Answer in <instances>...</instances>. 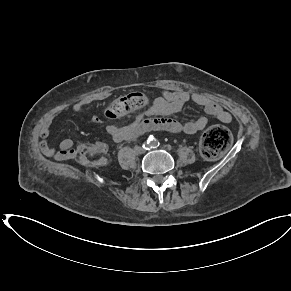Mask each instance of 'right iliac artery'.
Listing matches in <instances>:
<instances>
[{
  "mask_svg": "<svg viewBox=\"0 0 291 291\" xmlns=\"http://www.w3.org/2000/svg\"><path fill=\"white\" fill-rule=\"evenodd\" d=\"M142 147L143 149H146V150H149L150 148H152L151 137H149L148 140L142 144Z\"/></svg>",
  "mask_w": 291,
  "mask_h": 291,
  "instance_id": "obj_1",
  "label": "right iliac artery"
}]
</instances>
